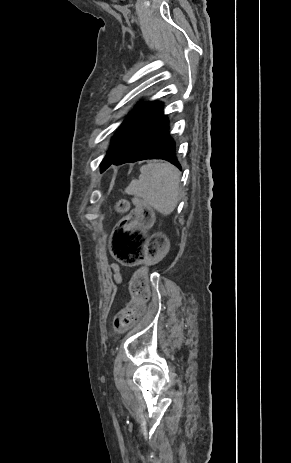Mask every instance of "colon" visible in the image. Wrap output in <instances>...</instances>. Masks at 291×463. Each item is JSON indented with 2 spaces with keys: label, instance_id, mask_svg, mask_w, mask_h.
I'll use <instances>...</instances> for the list:
<instances>
[{
  "label": "colon",
  "instance_id": "5ec220e1",
  "mask_svg": "<svg viewBox=\"0 0 291 463\" xmlns=\"http://www.w3.org/2000/svg\"><path fill=\"white\" fill-rule=\"evenodd\" d=\"M135 207L131 213L123 217L114 227L110 238V253L120 264L134 266L157 257L167 247L163 233H153L146 237L143 228L149 227L153 222L151 207L140 199L134 200ZM126 206V202L119 203V207ZM132 293L135 300L125 309L121 310L114 319L116 331L125 330L135 317L142 311L141 301L147 295V287L143 272L136 275L132 284Z\"/></svg>",
  "mask_w": 291,
  "mask_h": 463
}]
</instances>
